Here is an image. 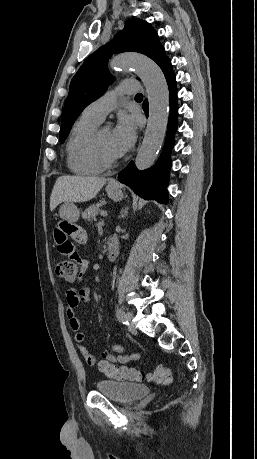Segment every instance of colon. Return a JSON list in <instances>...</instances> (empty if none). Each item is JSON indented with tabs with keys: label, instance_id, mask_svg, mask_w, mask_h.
<instances>
[{
	"label": "colon",
	"instance_id": "1",
	"mask_svg": "<svg viewBox=\"0 0 257 459\" xmlns=\"http://www.w3.org/2000/svg\"><path fill=\"white\" fill-rule=\"evenodd\" d=\"M67 223V222H62ZM55 230V229H54ZM78 264H68V261L62 260L59 261L55 266L56 275L66 281H74L77 276ZM100 371L109 378H114L118 380H142L148 379L155 381L160 384H168L171 382V372L170 369L164 365L159 364L152 373H144L142 371L128 368V367H118L108 363L107 361L99 362Z\"/></svg>",
	"mask_w": 257,
	"mask_h": 459
}]
</instances>
